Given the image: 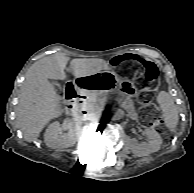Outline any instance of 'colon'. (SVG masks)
I'll return each mask as SVG.
<instances>
[{"instance_id": "obj_1", "label": "colon", "mask_w": 194, "mask_h": 193, "mask_svg": "<svg viewBox=\"0 0 194 193\" xmlns=\"http://www.w3.org/2000/svg\"><path fill=\"white\" fill-rule=\"evenodd\" d=\"M114 65L118 66L123 76H133L141 71L145 87L141 99L143 106V122L146 125H155L164 128L160 113L151 98V92L157 87L159 80V70L157 66L152 62L132 56L118 57L114 60Z\"/></svg>"}]
</instances>
